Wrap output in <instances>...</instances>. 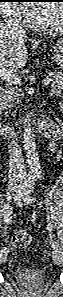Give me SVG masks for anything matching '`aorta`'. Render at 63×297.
Listing matches in <instances>:
<instances>
[{
	"instance_id": "1",
	"label": "aorta",
	"mask_w": 63,
	"mask_h": 297,
	"mask_svg": "<svg viewBox=\"0 0 63 297\" xmlns=\"http://www.w3.org/2000/svg\"><path fill=\"white\" fill-rule=\"evenodd\" d=\"M23 146L26 153L27 163L31 168L37 169L39 167V158L35 143L34 130L30 123H27L24 127Z\"/></svg>"
}]
</instances>
